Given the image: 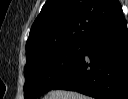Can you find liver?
<instances>
[{
  "instance_id": "obj_1",
  "label": "liver",
  "mask_w": 128,
  "mask_h": 99,
  "mask_svg": "<svg viewBox=\"0 0 128 99\" xmlns=\"http://www.w3.org/2000/svg\"><path fill=\"white\" fill-rule=\"evenodd\" d=\"M43 99H91L76 92L55 90L50 91Z\"/></svg>"
}]
</instances>
